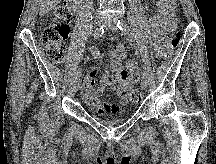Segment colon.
Listing matches in <instances>:
<instances>
[{
    "mask_svg": "<svg viewBox=\"0 0 216 164\" xmlns=\"http://www.w3.org/2000/svg\"><path fill=\"white\" fill-rule=\"evenodd\" d=\"M71 16V6L69 1L66 0L55 9L52 21L46 25L42 32L44 53L51 61L57 64L63 63L67 56L66 40L69 34L68 24ZM169 31L170 37L164 48V57L171 56L181 42V33L176 21L172 23ZM141 98L142 90L140 88L133 89L128 94V99L132 102H139Z\"/></svg>",
    "mask_w": 216,
    "mask_h": 164,
    "instance_id": "obj_1",
    "label": "colon"
}]
</instances>
